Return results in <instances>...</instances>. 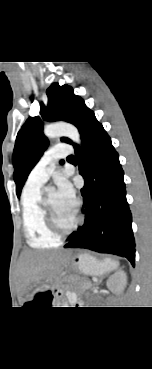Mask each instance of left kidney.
I'll use <instances>...</instances> for the list:
<instances>
[{
  "mask_svg": "<svg viewBox=\"0 0 152 369\" xmlns=\"http://www.w3.org/2000/svg\"><path fill=\"white\" fill-rule=\"evenodd\" d=\"M107 287L114 293L121 294L127 285V275L120 270L111 275L106 283Z\"/></svg>",
  "mask_w": 152,
  "mask_h": 369,
  "instance_id": "1",
  "label": "left kidney"
}]
</instances>
